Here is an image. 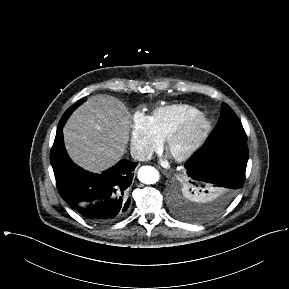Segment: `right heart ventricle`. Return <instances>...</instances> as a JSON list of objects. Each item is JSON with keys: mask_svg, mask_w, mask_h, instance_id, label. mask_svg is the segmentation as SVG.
Wrapping results in <instances>:
<instances>
[{"mask_svg": "<svg viewBox=\"0 0 289 289\" xmlns=\"http://www.w3.org/2000/svg\"><path fill=\"white\" fill-rule=\"evenodd\" d=\"M200 113L190 104L178 103L155 108L150 114V122L155 134L166 140L186 119Z\"/></svg>", "mask_w": 289, "mask_h": 289, "instance_id": "e07e8e85", "label": "right heart ventricle"}]
</instances>
